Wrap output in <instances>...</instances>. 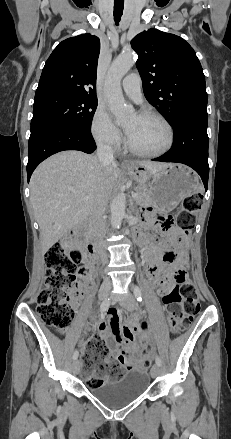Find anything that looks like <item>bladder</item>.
<instances>
[{
  "label": "bladder",
  "instance_id": "obj_1",
  "mask_svg": "<svg viewBox=\"0 0 231 439\" xmlns=\"http://www.w3.org/2000/svg\"><path fill=\"white\" fill-rule=\"evenodd\" d=\"M150 374L143 368L127 370L125 376L116 382H107L90 387L89 393L109 408H120L142 396L150 384Z\"/></svg>",
  "mask_w": 231,
  "mask_h": 439
}]
</instances>
